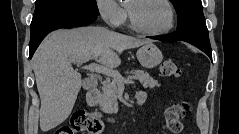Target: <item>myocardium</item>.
<instances>
[{
    "label": "myocardium",
    "mask_w": 239,
    "mask_h": 134,
    "mask_svg": "<svg viewBox=\"0 0 239 134\" xmlns=\"http://www.w3.org/2000/svg\"><path fill=\"white\" fill-rule=\"evenodd\" d=\"M133 1L141 2V1H145V0H133ZM157 1H160L161 3H163L169 11L168 24L164 28L159 29V30L146 29V28L140 26L137 23V21L135 20V18L133 16L131 8L127 6L129 24H130V27L135 32L140 33V34H144V35H148V36H161V35H164V34L168 33L174 27V24H175V10H174L171 2L168 1V0H157Z\"/></svg>",
    "instance_id": "f54148a6"
}]
</instances>
